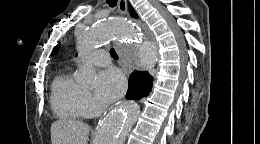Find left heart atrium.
Masks as SVG:
<instances>
[{
    "instance_id": "1",
    "label": "left heart atrium",
    "mask_w": 260,
    "mask_h": 144,
    "mask_svg": "<svg viewBox=\"0 0 260 144\" xmlns=\"http://www.w3.org/2000/svg\"><path fill=\"white\" fill-rule=\"evenodd\" d=\"M125 89L124 75L118 69L110 68L102 71L98 76L96 97L101 103L108 104L120 98Z\"/></svg>"
}]
</instances>
